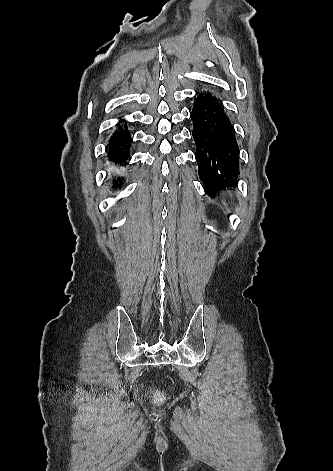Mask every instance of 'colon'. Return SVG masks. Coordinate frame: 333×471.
<instances>
[{"instance_id": "colon-1", "label": "colon", "mask_w": 333, "mask_h": 471, "mask_svg": "<svg viewBox=\"0 0 333 471\" xmlns=\"http://www.w3.org/2000/svg\"><path fill=\"white\" fill-rule=\"evenodd\" d=\"M162 398H163V396H162V394H161L160 392H158V391L155 392V394H154V400H155L156 402H161Z\"/></svg>"}]
</instances>
